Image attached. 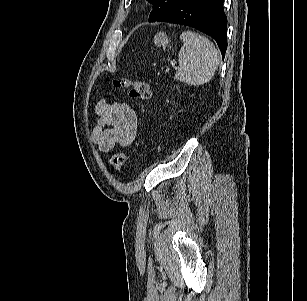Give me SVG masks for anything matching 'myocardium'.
<instances>
[{"instance_id": "f54148a6", "label": "myocardium", "mask_w": 307, "mask_h": 301, "mask_svg": "<svg viewBox=\"0 0 307 301\" xmlns=\"http://www.w3.org/2000/svg\"><path fill=\"white\" fill-rule=\"evenodd\" d=\"M148 3H149L148 0H141V1L139 2V5L142 6V7H145V6L148 5Z\"/></svg>"}]
</instances>
